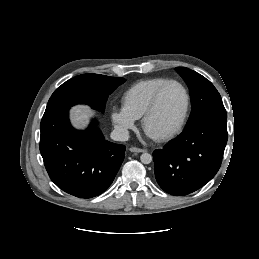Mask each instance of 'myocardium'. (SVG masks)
<instances>
[{
	"label": "myocardium",
	"instance_id": "obj_1",
	"mask_svg": "<svg viewBox=\"0 0 259 259\" xmlns=\"http://www.w3.org/2000/svg\"><path fill=\"white\" fill-rule=\"evenodd\" d=\"M171 84H177L178 86H180L185 94V108L182 114V117L180 119V121L178 122V124L168 133L159 136V137H153L156 141H167L172 139L173 137H175L184 127V125L186 124V121L188 119L189 116V111H190V106H191V95L189 92V89L187 88V86L176 79H168L167 81H165L164 83H162L154 92L153 97L151 99V102L147 108V110L145 111L143 117H142V127L144 129V131L146 133L147 132V124L149 119L152 117V115L156 112L158 105H159V101H160V97L162 95V92L164 91V89L171 85Z\"/></svg>",
	"mask_w": 259,
	"mask_h": 259
}]
</instances>
